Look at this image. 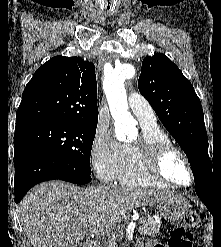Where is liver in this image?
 I'll return each mask as SVG.
<instances>
[{
  "label": "liver",
  "mask_w": 221,
  "mask_h": 247,
  "mask_svg": "<svg viewBox=\"0 0 221 247\" xmlns=\"http://www.w3.org/2000/svg\"><path fill=\"white\" fill-rule=\"evenodd\" d=\"M174 196L170 191L63 181L33 187L23 198L20 223L34 247H77L88 232L107 233L133 209Z\"/></svg>",
  "instance_id": "liver-1"
}]
</instances>
